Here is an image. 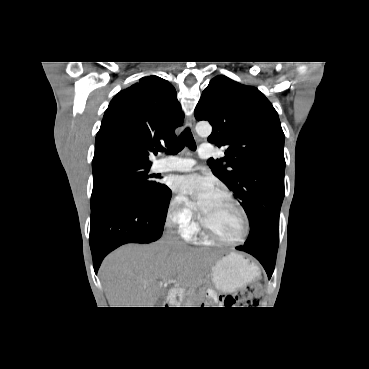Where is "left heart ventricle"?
I'll return each instance as SVG.
<instances>
[{
	"label": "left heart ventricle",
	"mask_w": 369,
	"mask_h": 369,
	"mask_svg": "<svg viewBox=\"0 0 369 369\" xmlns=\"http://www.w3.org/2000/svg\"><path fill=\"white\" fill-rule=\"evenodd\" d=\"M201 215L205 224L223 238L236 239L242 235V216L226 197L216 193L201 210Z\"/></svg>",
	"instance_id": "1"
}]
</instances>
